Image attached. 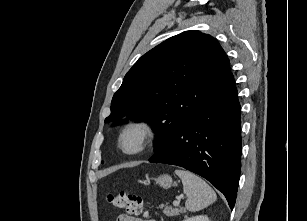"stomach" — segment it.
<instances>
[{
	"label": "stomach",
	"instance_id": "1",
	"mask_svg": "<svg viewBox=\"0 0 307 221\" xmlns=\"http://www.w3.org/2000/svg\"><path fill=\"white\" fill-rule=\"evenodd\" d=\"M152 180H154L156 182V184H158L159 186L168 189L173 185V180L171 178V176H169L168 174H163L160 175L156 178H151ZM145 182H150V178L146 177Z\"/></svg>",
	"mask_w": 307,
	"mask_h": 221
}]
</instances>
